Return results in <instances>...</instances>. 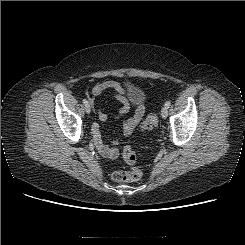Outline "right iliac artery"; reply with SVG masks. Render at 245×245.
<instances>
[{
	"label": "right iliac artery",
	"mask_w": 245,
	"mask_h": 245,
	"mask_svg": "<svg viewBox=\"0 0 245 245\" xmlns=\"http://www.w3.org/2000/svg\"><path fill=\"white\" fill-rule=\"evenodd\" d=\"M82 101H83V104H84L85 106L89 105V104H88L89 102H88L86 99H83Z\"/></svg>",
	"instance_id": "1"
}]
</instances>
